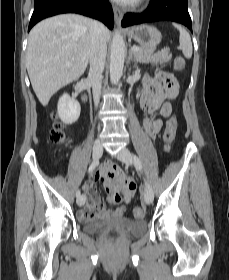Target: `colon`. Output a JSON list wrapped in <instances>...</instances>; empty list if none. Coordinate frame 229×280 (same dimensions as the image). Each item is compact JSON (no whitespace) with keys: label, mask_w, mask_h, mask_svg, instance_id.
<instances>
[{"label":"colon","mask_w":229,"mask_h":280,"mask_svg":"<svg viewBox=\"0 0 229 280\" xmlns=\"http://www.w3.org/2000/svg\"><path fill=\"white\" fill-rule=\"evenodd\" d=\"M176 62L178 65L182 66L185 64V58L180 56L177 58ZM160 80L162 81V83L166 87V89L168 90L169 94L172 97H175V95L178 91V83H177L175 76L171 73L163 72L160 74ZM52 117L55 121L49 132V139L54 144H61V143H63V141L65 139L63 126L58 121H56L57 117H58L56 113H53ZM177 130H178L177 119L175 116H172L167 120L165 129L163 132V141H164L167 149H170L171 146L173 145V143L175 142ZM110 179L114 183H118L124 179H127V177H122V176H119L118 174L113 173V174H111ZM133 215L137 218H141L145 214L141 208H135L133 210Z\"/></svg>","instance_id":"1"}]
</instances>
